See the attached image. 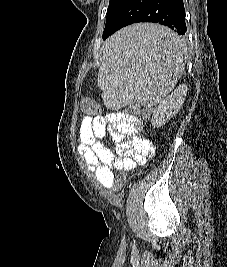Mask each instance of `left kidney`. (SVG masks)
Returning a JSON list of instances; mask_svg holds the SVG:
<instances>
[{
  "label": "left kidney",
  "mask_w": 227,
  "mask_h": 267,
  "mask_svg": "<svg viewBox=\"0 0 227 267\" xmlns=\"http://www.w3.org/2000/svg\"><path fill=\"white\" fill-rule=\"evenodd\" d=\"M187 91V85L182 84L178 86L170 96L159 103L158 107L153 111L151 119L153 127H161L180 111Z\"/></svg>",
  "instance_id": "obj_1"
}]
</instances>
